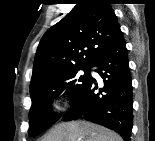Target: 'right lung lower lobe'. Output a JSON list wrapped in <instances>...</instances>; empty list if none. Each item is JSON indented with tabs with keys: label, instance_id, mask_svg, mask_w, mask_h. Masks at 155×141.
I'll list each match as a JSON object with an SVG mask.
<instances>
[{
	"label": "right lung lower lobe",
	"instance_id": "1",
	"mask_svg": "<svg viewBox=\"0 0 155 141\" xmlns=\"http://www.w3.org/2000/svg\"><path fill=\"white\" fill-rule=\"evenodd\" d=\"M104 87L98 89L93 78L74 101L63 120L84 117L118 132L130 140L133 121V93L127 49L122 32L103 51L93 65Z\"/></svg>",
	"mask_w": 155,
	"mask_h": 141
}]
</instances>
